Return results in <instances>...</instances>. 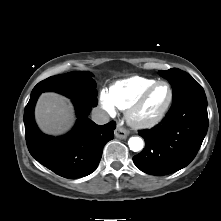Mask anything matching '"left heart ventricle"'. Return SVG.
<instances>
[{"label":"left heart ventricle","mask_w":221,"mask_h":221,"mask_svg":"<svg viewBox=\"0 0 221 221\" xmlns=\"http://www.w3.org/2000/svg\"><path fill=\"white\" fill-rule=\"evenodd\" d=\"M169 97V89L166 85H159L150 94L144 106L141 109L140 115L144 118L156 116L164 107Z\"/></svg>","instance_id":"obj_1"}]
</instances>
